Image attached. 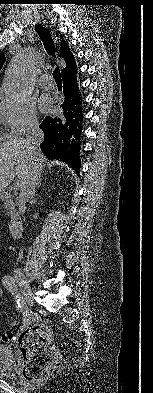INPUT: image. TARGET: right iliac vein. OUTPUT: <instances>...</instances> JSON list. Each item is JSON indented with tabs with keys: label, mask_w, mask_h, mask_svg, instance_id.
I'll use <instances>...</instances> for the list:
<instances>
[{
	"label": "right iliac vein",
	"mask_w": 153,
	"mask_h": 393,
	"mask_svg": "<svg viewBox=\"0 0 153 393\" xmlns=\"http://www.w3.org/2000/svg\"><path fill=\"white\" fill-rule=\"evenodd\" d=\"M15 279H16L17 283L19 284L22 294L25 296V299L28 302V304L33 305L32 290H31L26 278L24 277V275L16 274Z\"/></svg>",
	"instance_id": "63e3f726"
}]
</instances>
